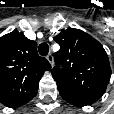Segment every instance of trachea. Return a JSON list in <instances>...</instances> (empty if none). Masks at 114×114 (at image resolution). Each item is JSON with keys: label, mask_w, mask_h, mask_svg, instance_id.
Masks as SVG:
<instances>
[{"label": "trachea", "mask_w": 114, "mask_h": 114, "mask_svg": "<svg viewBox=\"0 0 114 114\" xmlns=\"http://www.w3.org/2000/svg\"><path fill=\"white\" fill-rule=\"evenodd\" d=\"M39 54L41 56H46L49 51V46L47 43H41L38 48Z\"/></svg>", "instance_id": "1"}]
</instances>
